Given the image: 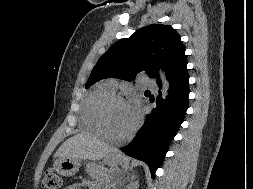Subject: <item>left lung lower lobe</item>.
<instances>
[{
    "mask_svg": "<svg viewBox=\"0 0 253 189\" xmlns=\"http://www.w3.org/2000/svg\"><path fill=\"white\" fill-rule=\"evenodd\" d=\"M169 81L170 88L167 98L161 103V92H159L156 102L158 106L147 115L145 125L138 131L134 140L121 148L127 155L146 162L153 178L188 108L187 60L179 66Z\"/></svg>",
    "mask_w": 253,
    "mask_h": 189,
    "instance_id": "left-lung-lower-lobe-1",
    "label": "left lung lower lobe"
}]
</instances>
